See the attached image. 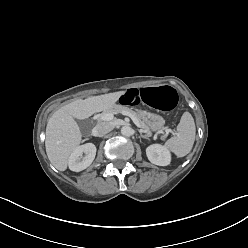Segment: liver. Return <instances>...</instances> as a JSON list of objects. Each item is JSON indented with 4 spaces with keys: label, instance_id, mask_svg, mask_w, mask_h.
I'll return each instance as SVG.
<instances>
[{
    "label": "liver",
    "instance_id": "obj_1",
    "mask_svg": "<svg viewBox=\"0 0 248 248\" xmlns=\"http://www.w3.org/2000/svg\"><path fill=\"white\" fill-rule=\"evenodd\" d=\"M124 91L78 99L58 109L48 120L45 147L48 159L59 171H65L71 153L82 140L80 127L75 121L84 120L97 112L112 107Z\"/></svg>",
    "mask_w": 248,
    "mask_h": 248
}]
</instances>
